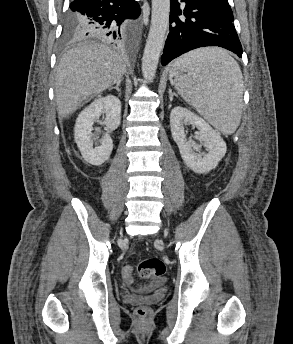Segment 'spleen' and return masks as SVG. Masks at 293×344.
Masks as SVG:
<instances>
[{"mask_svg": "<svg viewBox=\"0 0 293 344\" xmlns=\"http://www.w3.org/2000/svg\"><path fill=\"white\" fill-rule=\"evenodd\" d=\"M174 65L185 73L174 80L180 96L220 132L233 133L242 111L238 63L225 50L207 47L179 57Z\"/></svg>", "mask_w": 293, "mask_h": 344, "instance_id": "spleen-1", "label": "spleen"}]
</instances>
